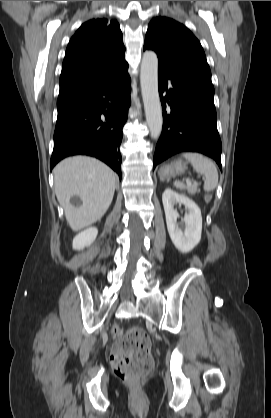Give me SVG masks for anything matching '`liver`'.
Wrapping results in <instances>:
<instances>
[{
    "instance_id": "obj_1",
    "label": "liver",
    "mask_w": 271,
    "mask_h": 418,
    "mask_svg": "<svg viewBox=\"0 0 271 418\" xmlns=\"http://www.w3.org/2000/svg\"><path fill=\"white\" fill-rule=\"evenodd\" d=\"M55 193L73 231L100 220L109 208L115 191L116 174L103 162L75 156L64 159L53 170ZM81 200L79 207L70 203L72 196Z\"/></svg>"
}]
</instances>
